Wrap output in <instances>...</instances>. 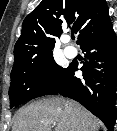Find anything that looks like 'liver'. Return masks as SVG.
<instances>
[{
  "instance_id": "1",
  "label": "liver",
  "mask_w": 117,
  "mask_h": 131,
  "mask_svg": "<svg viewBox=\"0 0 117 131\" xmlns=\"http://www.w3.org/2000/svg\"><path fill=\"white\" fill-rule=\"evenodd\" d=\"M97 131L100 122L79 103L63 98L38 100L20 109L12 131Z\"/></svg>"
}]
</instances>
